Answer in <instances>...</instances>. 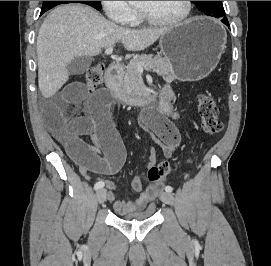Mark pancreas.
Returning a JSON list of instances; mask_svg holds the SVG:
<instances>
[{"label":"pancreas","instance_id":"obj_1","mask_svg":"<svg viewBox=\"0 0 271 266\" xmlns=\"http://www.w3.org/2000/svg\"><path fill=\"white\" fill-rule=\"evenodd\" d=\"M138 63H144L145 65L142 66V68L153 70L164 78L171 77L172 66L167 59L159 55H141L131 60V62L125 66L122 88L129 97H139L146 92V86L137 69Z\"/></svg>","mask_w":271,"mask_h":266}]
</instances>
